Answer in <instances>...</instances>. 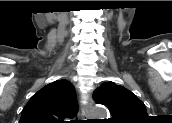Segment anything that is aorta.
Returning a JSON list of instances; mask_svg holds the SVG:
<instances>
[{
	"label": "aorta",
	"mask_w": 172,
	"mask_h": 123,
	"mask_svg": "<svg viewBox=\"0 0 172 123\" xmlns=\"http://www.w3.org/2000/svg\"><path fill=\"white\" fill-rule=\"evenodd\" d=\"M91 113L94 117H97L99 119H103L108 116V110L103 106L92 107Z\"/></svg>",
	"instance_id": "1"
}]
</instances>
